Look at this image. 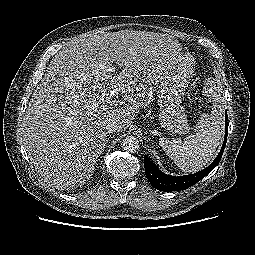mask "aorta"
Listing matches in <instances>:
<instances>
[{
	"instance_id": "aorta-1",
	"label": "aorta",
	"mask_w": 255,
	"mask_h": 255,
	"mask_svg": "<svg viewBox=\"0 0 255 255\" xmlns=\"http://www.w3.org/2000/svg\"><path fill=\"white\" fill-rule=\"evenodd\" d=\"M139 148V141L134 136H127L122 141V149L126 152L134 153Z\"/></svg>"
}]
</instances>
